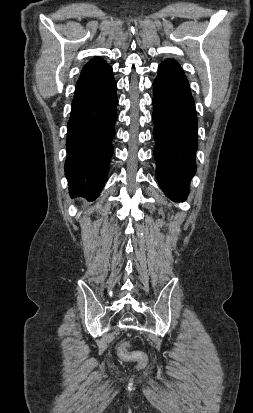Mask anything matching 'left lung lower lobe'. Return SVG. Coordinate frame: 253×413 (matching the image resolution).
Wrapping results in <instances>:
<instances>
[{
  "mask_svg": "<svg viewBox=\"0 0 253 413\" xmlns=\"http://www.w3.org/2000/svg\"><path fill=\"white\" fill-rule=\"evenodd\" d=\"M156 176L174 201H184L196 172L198 121L188 80L173 59L162 62L153 83Z\"/></svg>",
  "mask_w": 253,
  "mask_h": 413,
  "instance_id": "obj_1",
  "label": "left lung lower lobe"
}]
</instances>
